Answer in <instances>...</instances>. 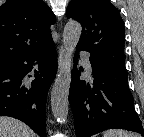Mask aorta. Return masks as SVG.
Segmentation results:
<instances>
[{
  "label": "aorta",
  "instance_id": "aorta-1",
  "mask_svg": "<svg viewBox=\"0 0 144 137\" xmlns=\"http://www.w3.org/2000/svg\"><path fill=\"white\" fill-rule=\"evenodd\" d=\"M81 33L80 23L73 20L67 22L63 30L64 59L51 92L52 113L60 123H65L68 116L73 53Z\"/></svg>",
  "mask_w": 144,
  "mask_h": 137
}]
</instances>
